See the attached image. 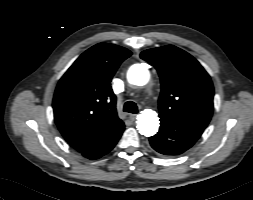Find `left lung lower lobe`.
<instances>
[{"label": "left lung lower lobe", "mask_w": 253, "mask_h": 200, "mask_svg": "<svg viewBox=\"0 0 253 200\" xmlns=\"http://www.w3.org/2000/svg\"><path fill=\"white\" fill-rule=\"evenodd\" d=\"M203 130L176 121L170 117L160 116L159 132L150 137V145L157 152L173 156L189 149L201 136Z\"/></svg>", "instance_id": "obj_1"}]
</instances>
